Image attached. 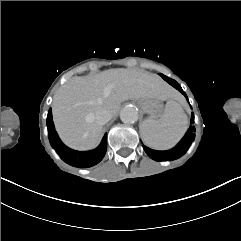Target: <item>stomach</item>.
Masks as SVG:
<instances>
[{"label":"stomach","instance_id":"0dacf381","mask_svg":"<svg viewBox=\"0 0 241 241\" xmlns=\"http://www.w3.org/2000/svg\"><path fill=\"white\" fill-rule=\"evenodd\" d=\"M139 106L151 119L157 118L162 111V103L158 99L144 98L139 100Z\"/></svg>","mask_w":241,"mask_h":241}]
</instances>
